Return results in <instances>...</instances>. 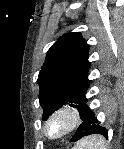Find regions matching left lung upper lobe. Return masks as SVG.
Listing matches in <instances>:
<instances>
[{
	"label": "left lung upper lobe",
	"mask_w": 124,
	"mask_h": 149,
	"mask_svg": "<svg viewBox=\"0 0 124 149\" xmlns=\"http://www.w3.org/2000/svg\"><path fill=\"white\" fill-rule=\"evenodd\" d=\"M88 51V44L77 32L63 35L49 49L38 76L44 120L61 106L70 104L85 121L89 112L85 97L90 83Z\"/></svg>",
	"instance_id": "obj_1"
}]
</instances>
